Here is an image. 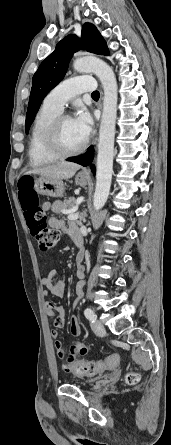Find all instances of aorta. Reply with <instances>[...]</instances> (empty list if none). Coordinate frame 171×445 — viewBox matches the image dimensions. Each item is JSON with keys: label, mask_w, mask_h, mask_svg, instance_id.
Segmentation results:
<instances>
[{"label": "aorta", "mask_w": 171, "mask_h": 445, "mask_svg": "<svg viewBox=\"0 0 171 445\" xmlns=\"http://www.w3.org/2000/svg\"><path fill=\"white\" fill-rule=\"evenodd\" d=\"M74 69L77 72H93L100 79L103 90V111L99 129L96 188L93 198L95 210L105 205L111 187L113 174V155L115 124L117 118V81L112 68L104 61L95 57H85L75 60Z\"/></svg>", "instance_id": "obj_1"}]
</instances>
